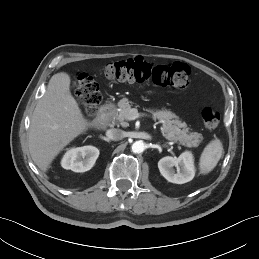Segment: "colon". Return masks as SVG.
Listing matches in <instances>:
<instances>
[{
  "mask_svg": "<svg viewBox=\"0 0 259 259\" xmlns=\"http://www.w3.org/2000/svg\"><path fill=\"white\" fill-rule=\"evenodd\" d=\"M103 74L107 79L119 82L151 81L160 87L181 90L188 86L190 69L180 62L158 65L137 57L108 63L103 68ZM74 88L86 113L95 114L101 102V94L94 78L87 73H80L75 79ZM201 117L204 126L209 130L217 128L220 123V113L212 108H205Z\"/></svg>",
  "mask_w": 259,
  "mask_h": 259,
  "instance_id": "obj_1",
  "label": "colon"
}]
</instances>
